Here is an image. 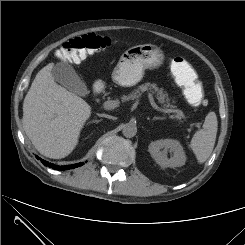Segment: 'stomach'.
I'll use <instances>...</instances> for the list:
<instances>
[{"label": "stomach", "mask_w": 245, "mask_h": 245, "mask_svg": "<svg viewBox=\"0 0 245 245\" xmlns=\"http://www.w3.org/2000/svg\"><path fill=\"white\" fill-rule=\"evenodd\" d=\"M163 61V51L156 45L133 46L121 55L112 72V79L118 85L133 86L141 81L145 70L159 68Z\"/></svg>", "instance_id": "obj_1"}]
</instances>
